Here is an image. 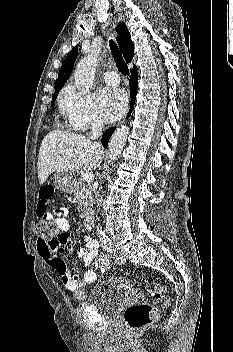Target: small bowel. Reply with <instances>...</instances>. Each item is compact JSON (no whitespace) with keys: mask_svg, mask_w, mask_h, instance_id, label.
<instances>
[{"mask_svg":"<svg viewBox=\"0 0 233 352\" xmlns=\"http://www.w3.org/2000/svg\"><path fill=\"white\" fill-rule=\"evenodd\" d=\"M55 189L51 185H44L38 194L37 217L38 219H48L56 227L58 235L55 239L43 242L37 240V250L44 262L49 264L60 276L64 286L74 291L79 286L91 284L97 280V274L93 270L84 272L81 278L77 274H72L66 262L59 256L65 247L70 249L69 234V211L65 207L53 209L58 202L55 198ZM99 243L91 237H85V247L78 252V259L83 266H88L94 257L98 255Z\"/></svg>","mask_w":233,"mask_h":352,"instance_id":"c3829d8e","label":"small bowel"}]
</instances>
